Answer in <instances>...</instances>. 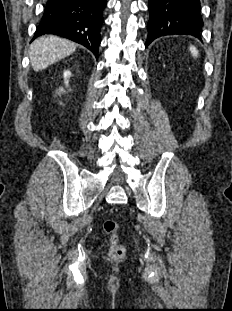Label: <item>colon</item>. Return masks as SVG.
Here are the masks:
<instances>
[{
	"instance_id": "5ec220e1",
	"label": "colon",
	"mask_w": 232,
	"mask_h": 311,
	"mask_svg": "<svg viewBox=\"0 0 232 311\" xmlns=\"http://www.w3.org/2000/svg\"><path fill=\"white\" fill-rule=\"evenodd\" d=\"M119 229V224L114 220H106L103 223V230L109 236V256L113 259H119L125 255V247L118 239Z\"/></svg>"
}]
</instances>
